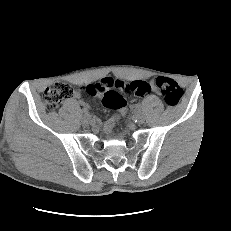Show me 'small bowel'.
I'll return each mask as SVG.
<instances>
[{"mask_svg":"<svg viewBox=\"0 0 231 231\" xmlns=\"http://www.w3.org/2000/svg\"><path fill=\"white\" fill-rule=\"evenodd\" d=\"M89 85V84H88ZM86 86L87 85H85L84 86V89L86 88ZM152 90L154 91V92H157V88L155 87V86H152ZM80 91H76L75 93H74V98H76V99H79L80 98ZM79 103L82 105V106H86V104H85V102L84 101H82V100H80L79 101ZM115 118H113V119H110V120H108L106 123H105V130H106V132H109L110 130H111V128L113 127V125H114V123H115Z\"/></svg>","mask_w":231,"mask_h":231,"instance_id":"small-bowel-1","label":"small bowel"}]
</instances>
